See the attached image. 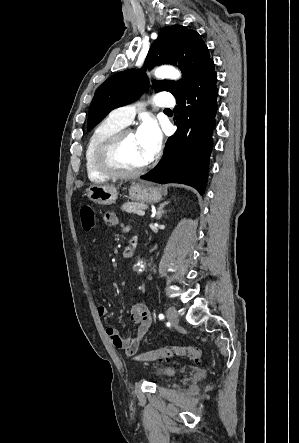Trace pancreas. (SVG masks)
<instances>
[{
	"instance_id": "pancreas-1",
	"label": "pancreas",
	"mask_w": 299,
	"mask_h": 443,
	"mask_svg": "<svg viewBox=\"0 0 299 443\" xmlns=\"http://www.w3.org/2000/svg\"><path fill=\"white\" fill-rule=\"evenodd\" d=\"M148 206L143 203L139 202H126L122 205L121 209L122 211L128 212V213H136L138 210H145Z\"/></svg>"
}]
</instances>
